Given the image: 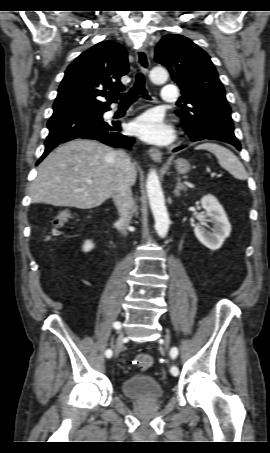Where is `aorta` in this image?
I'll return each instance as SVG.
<instances>
[{"label": "aorta", "mask_w": 270, "mask_h": 453, "mask_svg": "<svg viewBox=\"0 0 270 453\" xmlns=\"http://www.w3.org/2000/svg\"><path fill=\"white\" fill-rule=\"evenodd\" d=\"M154 83H162L168 79V72L163 67H155L150 72ZM147 195L155 219V229L160 237H165L169 229V216L165 206L164 195L155 169H151L146 181Z\"/></svg>", "instance_id": "aorta-1"}]
</instances>
